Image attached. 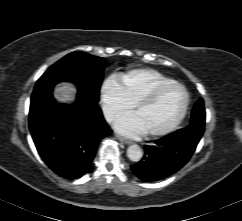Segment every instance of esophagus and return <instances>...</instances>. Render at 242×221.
<instances>
[{"label": "esophagus", "instance_id": "1", "mask_svg": "<svg viewBox=\"0 0 242 221\" xmlns=\"http://www.w3.org/2000/svg\"><path fill=\"white\" fill-rule=\"evenodd\" d=\"M116 137H117V139H118L120 142H122V143H124V144H131V143H132L130 140L125 139V138H123V137H121V136H116Z\"/></svg>", "mask_w": 242, "mask_h": 221}]
</instances>
